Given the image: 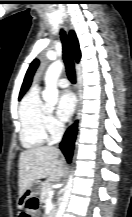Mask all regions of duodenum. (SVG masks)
<instances>
[{
    "instance_id": "obj_1",
    "label": "duodenum",
    "mask_w": 132,
    "mask_h": 217,
    "mask_svg": "<svg viewBox=\"0 0 132 217\" xmlns=\"http://www.w3.org/2000/svg\"><path fill=\"white\" fill-rule=\"evenodd\" d=\"M49 217H54L53 213H51V214L49 215Z\"/></svg>"
}]
</instances>
